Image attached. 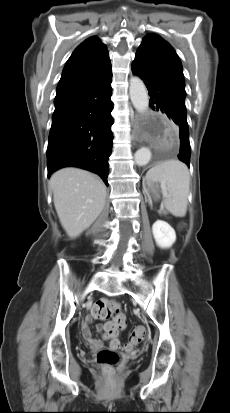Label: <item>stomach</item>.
<instances>
[{
  "mask_svg": "<svg viewBox=\"0 0 230 413\" xmlns=\"http://www.w3.org/2000/svg\"><path fill=\"white\" fill-rule=\"evenodd\" d=\"M144 192L151 199L157 201L160 199V187L156 182H145Z\"/></svg>",
  "mask_w": 230,
  "mask_h": 413,
  "instance_id": "0dacf381",
  "label": "stomach"
}]
</instances>
